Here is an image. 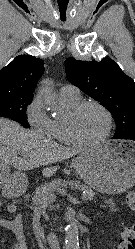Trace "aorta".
I'll use <instances>...</instances> for the list:
<instances>
[{
    "label": "aorta",
    "instance_id": "obj_1",
    "mask_svg": "<svg viewBox=\"0 0 135 249\" xmlns=\"http://www.w3.org/2000/svg\"><path fill=\"white\" fill-rule=\"evenodd\" d=\"M39 95L48 105H56L57 96L49 85L42 87ZM65 249H79V229L76 223H70L66 228Z\"/></svg>",
    "mask_w": 135,
    "mask_h": 249
}]
</instances>
